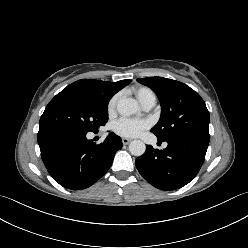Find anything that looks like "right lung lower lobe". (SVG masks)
<instances>
[{
  "label": "right lung lower lobe",
  "instance_id": "obj_1",
  "mask_svg": "<svg viewBox=\"0 0 248 248\" xmlns=\"http://www.w3.org/2000/svg\"><path fill=\"white\" fill-rule=\"evenodd\" d=\"M37 139L47 171L71 190L88 188L100 179L123 146L121 138L112 132L98 145L86 134L58 128L39 129Z\"/></svg>",
  "mask_w": 248,
  "mask_h": 248
}]
</instances>
